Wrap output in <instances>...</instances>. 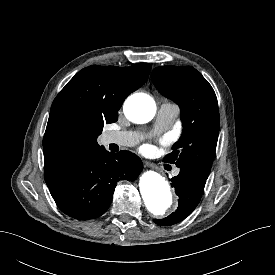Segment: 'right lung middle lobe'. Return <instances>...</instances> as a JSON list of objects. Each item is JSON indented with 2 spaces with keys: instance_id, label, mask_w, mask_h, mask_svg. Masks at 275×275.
Masks as SVG:
<instances>
[{
  "instance_id": "dd1d6c3e",
  "label": "right lung middle lobe",
  "mask_w": 275,
  "mask_h": 275,
  "mask_svg": "<svg viewBox=\"0 0 275 275\" xmlns=\"http://www.w3.org/2000/svg\"><path fill=\"white\" fill-rule=\"evenodd\" d=\"M116 121H117V119H115V120L111 121V123L116 122Z\"/></svg>"
}]
</instances>
